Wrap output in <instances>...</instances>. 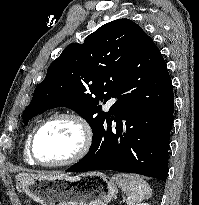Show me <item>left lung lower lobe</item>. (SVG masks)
<instances>
[{"instance_id": "1", "label": "left lung lower lobe", "mask_w": 199, "mask_h": 205, "mask_svg": "<svg viewBox=\"0 0 199 205\" xmlns=\"http://www.w3.org/2000/svg\"><path fill=\"white\" fill-rule=\"evenodd\" d=\"M110 107L111 119L91 149L67 172L114 170L165 181L174 95L166 62L144 34ZM116 127L112 128V122Z\"/></svg>"}]
</instances>
